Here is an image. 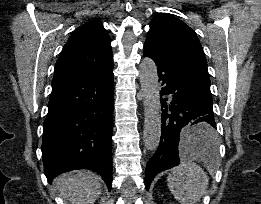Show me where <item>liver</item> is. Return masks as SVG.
<instances>
[{"mask_svg": "<svg viewBox=\"0 0 261 204\" xmlns=\"http://www.w3.org/2000/svg\"><path fill=\"white\" fill-rule=\"evenodd\" d=\"M55 184L71 204H93L102 192L99 176L86 170L59 175Z\"/></svg>", "mask_w": 261, "mask_h": 204, "instance_id": "obj_1", "label": "liver"}]
</instances>
